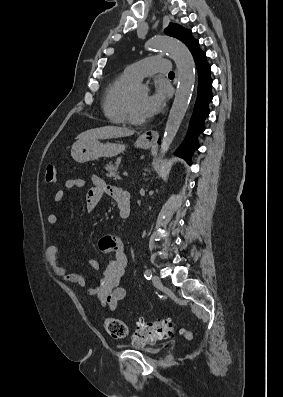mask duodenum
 <instances>
[{
	"label": "duodenum",
	"mask_w": 283,
	"mask_h": 397,
	"mask_svg": "<svg viewBox=\"0 0 283 397\" xmlns=\"http://www.w3.org/2000/svg\"><path fill=\"white\" fill-rule=\"evenodd\" d=\"M119 210L122 218H127L131 212V203L128 194L126 193L119 202Z\"/></svg>",
	"instance_id": "duodenum-1"
}]
</instances>
